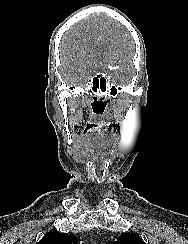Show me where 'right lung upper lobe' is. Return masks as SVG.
<instances>
[{
    "label": "right lung upper lobe",
    "instance_id": "1",
    "mask_svg": "<svg viewBox=\"0 0 188 244\" xmlns=\"http://www.w3.org/2000/svg\"><path fill=\"white\" fill-rule=\"evenodd\" d=\"M37 244H77L74 234L51 232L45 235Z\"/></svg>",
    "mask_w": 188,
    "mask_h": 244
}]
</instances>
